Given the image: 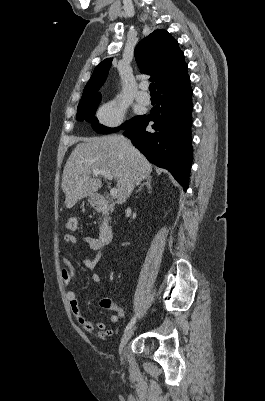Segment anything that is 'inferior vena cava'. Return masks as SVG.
Returning a JSON list of instances; mask_svg holds the SVG:
<instances>
[{
	"instance_id": "inferior-vena-cava-1",
	"label": "inferior vena cava",
	"mask_w": 265,
	"mask_h": 401,
	"mask_svg": "<svg viewBox=\"0 0 265 401\" xmlns=\"http://www.w3.org/2000/svg\"><path fill=\"white\" fill-rule=\"evenodd\" d=\"M128 142H129V144H131L130 140H128ZM134 182H135V180H133V182H131V184H128V186H126V190H125L126 196H129L130 192H132Z\"/></svg>"
}]
</instances>
